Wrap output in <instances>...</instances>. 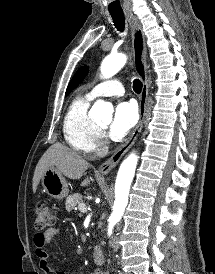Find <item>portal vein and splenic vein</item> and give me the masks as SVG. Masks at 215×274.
<instances>
[{"label":"portal vein and splenic vein","instance_id":"portal-vein-and-splenic-vein-1","mask_svg":"<svg viewBox=\"0 0 215 274\" xmlns=\"http://www.w3.org/2000/svg\"><path fill=\"white\" fill-rule=\"evenodd\" d=\"M78 208L82 213L87 212V207L84 203L79 204Z\"/></svg>","mask_w":215,"mask_h":274}]
</instances>
